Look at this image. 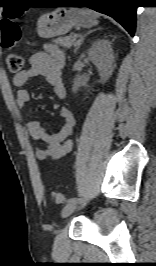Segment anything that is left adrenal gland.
<instances>
[{"instance_id": "obj_1", "label": "left adrenal gland", "mask_w": 156, "mask_h": 266, "mask_svg": "<svg viewBox=\"0 0 156 266\" xmlns=\"http://www.w3.org/2000/svg\"><path fill=\"white\" fill-rule=\"evenodd\" d=\"M99 29H101V28H98L97 30H99ZM94 31H96V29L88 31L86 34H84V35L80 38V40L76 43V47H75L74 53H76L77 50L79 49V47L82 45V43H83L85 37H86L87 35H89L90 33L94 32Z\"/></svg>"}]
</instances>
